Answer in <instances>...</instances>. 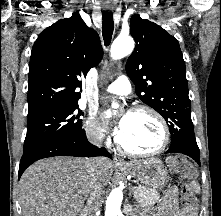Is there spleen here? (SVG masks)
Masks as SVG:
<instances>
[{"label": "spleen", "mask_w": 221, "mask_h": 216, "mask_svg": "<svg viewBox=\"0 0 221 216\" xmlns=\"http://www.w3.org/2000/svg\"><path fill=\"white\" fill-rule=\"evenodd\" d=\"M192 184H193V186H194V188H195L196 190L199 189V186H198V184H197L195 181H192Z\"/></svg>", "instance_id": "spleen-1"}]
</instances>
